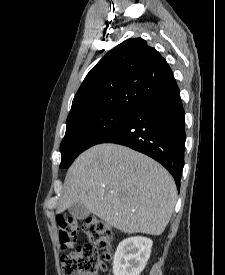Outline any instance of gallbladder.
<instances>
[{
  "mask_svg": "<svg viewBox=\"0 0 225 275\" xmlns=\"http://www.w3.org/2000/svg\"><path fill=\"white\" fill-rule=\"evenodd\" d=\"M69 213L77 219H84L90 214V211L82 203L77 202L70 206Z\"/></svg>",
  "mask_w": 225,
  "mask_h": 275,
  "instance_id": "gallbladder-1",
  "label": "gallbladder"
}]
</instances>
